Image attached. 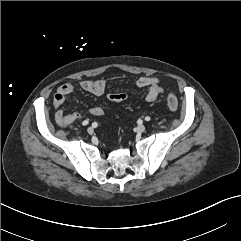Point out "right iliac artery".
I'll return each instance as SVG.
<instances>
[{
  "mask_svg": "<svg viewBox=\"0 0 241 241\" xmlns=\"http://www.w3.org/2000/svg\"><path fill=\"white\" fill-rule=\"evenodd\" d=\"M89 123V121L88 120H84L83 122H82V125H87Z\"/></svg>",
  "mask_w": 241,
  "mask_h": 241,
  "instance_id": "right-iliac-artery-1",
  "label": "right iliac artery"
}]
</instances>
